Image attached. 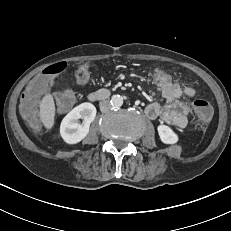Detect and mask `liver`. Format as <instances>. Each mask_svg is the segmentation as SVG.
<instances>
[{"label": "liver", "instance_id": "1", "mask_svg": "<svg viewBox=\"0 0 231 231\" xmlns=\"http://www.w3.org/2000/svg\"><path fill=\"white\" fill-rule=\"evenodd\" d=\"M39 107L41 122L47 130H51L55 120V103L53 96L47 93L40 101Z\"/></svg>", "mask_w": 231, "mask_h": 231}]
</instances>
